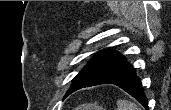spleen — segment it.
I'll return each mask as SVG.
<instances>
[{
    "label": "spleen",
    "instance_id": "obj_1",
    "mask_svg": "<svg viewBox=\"0 0 171 110\" xmlns=\"http://www.w3.org/2000/svg\"><path fill=\"white\" fill-rule=\"evenodd\" d=\"M117 110H140L134 102L125 99L117 100Z\"/></svg>",
    "mask_w": 171,
    "mask_h": 110
}]
</instances>
